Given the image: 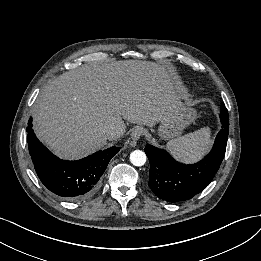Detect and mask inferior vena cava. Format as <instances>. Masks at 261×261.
Wrapping results in <instances>:
<instances>
[{"label": "inferior vena cava", "instance_id": "1", "mask_svg": "<svg viewBox=\"0 0 261 261\" xmlns=\"http://www.w3.org/2000/svg\"><path fill=\"white\" fill-rule=\"evenodd\" d=\"M104 133L106 134L107 139H117L121 136V131L116 127H106L104 129Z\"/></svg>", "mask_w": 261, "mask_h": 261}]
</instances>
